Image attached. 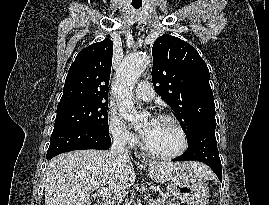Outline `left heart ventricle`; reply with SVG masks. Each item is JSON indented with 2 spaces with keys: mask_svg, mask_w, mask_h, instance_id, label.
Here are the masks:
<instances>
[{
  "mask_svg": "<svg viewBox=\"0 0 269 205\" xmlns=\"http://www.w3.org/2000/svg\"><path fill=\"white\" fill-rule=\"evenodd\" d=\"M144 141L149 149L162 154L174 152L182 144L181 136L175 126L169 121L160 119L156 120Z\"/></svg>",
  "mask_w": 269,
  "mask_h": 205,
  "instance_id": "1",
  "label": "left heart ventricle"
}]
</instances>
